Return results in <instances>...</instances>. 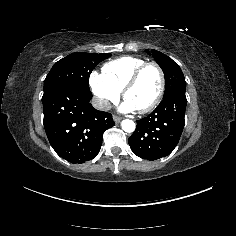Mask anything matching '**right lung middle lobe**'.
Returning <instances> with one entry per match:
<instances>
[{
    "label": "right lung middle lobe",
    "mask_w": 236,
    "mask_h": 236,
    "mask_svg": "<svg viewBox=\"0 0 236 236\" xmlns=\"http://www.w3.org/2000/svg\"><path fill=\"white\" fill-rule=\"evenodd\" d=\"M111 54L76 52L56 62L44 80V93L57 86H69L90 95L89 75Z\"/></svg>",
    "instance_id": "right-lung-middle-lobe-1"
}]
</instances>
